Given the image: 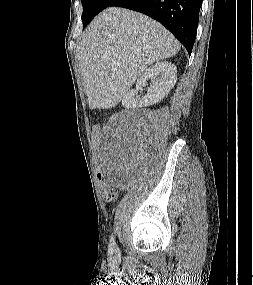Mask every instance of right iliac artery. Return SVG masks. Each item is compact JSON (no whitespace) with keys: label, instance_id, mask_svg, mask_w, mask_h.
I'll list each match as a JSON object with an SVG mask.
<instances>
[{"label":"right iliac artery","instance_id":"right-iliac-artery-1","mask_svg":"<svg viewBox=\"0 0 253 285\" xmlns=\"http://www.w3.org/2000/svg\"><path fill=\"white\" fill-rule=\"evenodd\" d=\"M114 246H115V240H114L113 236H111V239H110V247H111V248H114Z\"/></svg>","mask_w":253,"mask_h":285}]
</instances>
